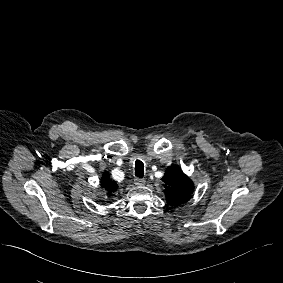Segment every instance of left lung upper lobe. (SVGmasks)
Listing matches in <instances>:
<instances>
[{
	"instance_id": "5c2ea615",
	"label": "left lung upper lobe",
	"mask_w": 283,
	"mask_h": 283,
	"mask_svg": "<svg viewBox=\"0 0 283 283\" xmlns=\"http://www.w3.org/2000/svg\"><path fill=\"white\" fill-rule=\"evenodd\" d=\"M162 180L166 185L165 196L169 205L178 206L191 198L194 184L178 166L168 167Z\"/></svg>"
}]
</instances>
